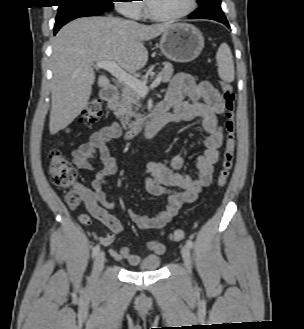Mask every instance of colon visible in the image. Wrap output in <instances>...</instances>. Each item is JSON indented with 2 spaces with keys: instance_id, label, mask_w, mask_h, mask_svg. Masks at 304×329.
<instances>
[{
  "instance_id": "obj_1",
  "label": "colon",
  "mask_w": 304,
  "mask_h": 329,
  "mask_svg": "<svg viewBox=\"0 0 304 329\" xmlns=\"http://www.w3.org/2000/svg\"><path fill=\"white\" fill-rule=\"evenodd\" d=\"M222 99L225 110V146L222 153L221 167L218 173L216 187L222 189L230 176L233 167L236 148V134L234 123L235 94L230 83L221 81ZM102 115V103L99 99L89 101L84 115L83 123L90 126L96 122ZM49 174L53 184L59 189L68 190L66 195V203L70 208H77L82 200L83 193L76 184L78 173L76 168L62 154L55 149L50 152ZM185 236V232L181 229H175L170 232L169 238L173 242L181 241Z\"/></svg>"
}]
</instances>
